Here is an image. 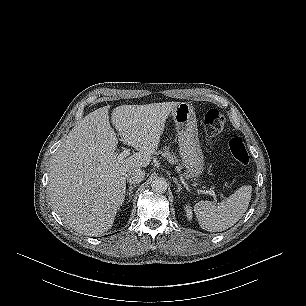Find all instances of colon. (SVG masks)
I'll return each instance as SVG.
<instances>
[{
    "label": "colon",
    "mask_w": 306,
    "mask_h": 306,
    "mask_svg": "<svg viewBox=\"0 0 306 306\" xmlns=\"http://www.w3.org/2000/svg\"><path fill=\"white\" fill-rule=\"evenodd\" d=\"M225 126V118L217 109H209L203 119V127L206 139H211L218 135ZM229 149L232 156L242 165L250 161V155L246 149L244 141L238 136L229 140Z\"/></svg>",
    "instance_id": "obj_1"
}]
</instances>
